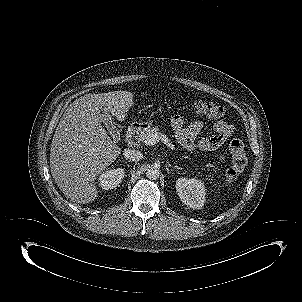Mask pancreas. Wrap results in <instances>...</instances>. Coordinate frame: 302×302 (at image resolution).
<instances>
[{
	"instance_id": "cf45deb5",
	"label": "pancreas",
	"mask_w": 302,
	"mask_h": 302,
	"mask_svg": "<svg viewBox=\"0 0 302 302\" xmlns=\"http://www.w3.org/2000/svg\"><path fill=\"white\" fill-rule=\"evenodd\" d=\"M159 132V128L157 126L155 127H151V128H148L144 131H141L138 135H137V140L140 141V142H143L150 136L156 134Z\"/></svg>"
}]
</instances>
